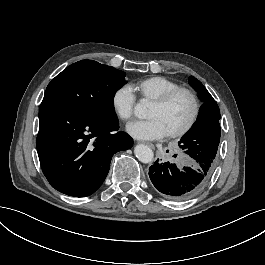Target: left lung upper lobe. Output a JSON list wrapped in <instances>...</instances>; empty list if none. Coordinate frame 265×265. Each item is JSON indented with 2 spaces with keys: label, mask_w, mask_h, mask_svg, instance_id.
<instances>
[{
  "label": "left lung upper lobe",
  "mask_w": 265,
  "mask_h": 265,
  "mask_svg": "<svg viewBox=\"0 0 265 265\" xmlns=\"http://www.w3.org/2000/svg\"><path fill=\"white\" fill-rule=\"evenodd\" d=\"M189 84L195 89L203 104L192 128L181 138L180 147L194 161L215 163L220 142V110L209 92L195 77H189Z\"/></svg>",
  "instance_id": "5c2ea615"
}]
</instances>
